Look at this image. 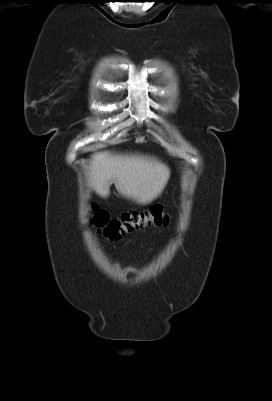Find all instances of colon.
I'll return each mask as SVG.
<instances>
[{
  "instance_id": "1",
  "label": "colon",
  "mask_w": 272,
  "mask_h": 401,
  "mask_svg": "<svg viewBox=\"0 0 272 401\" xmlns=\"http://www.w3.org/2000/svg\"><path fill=\"white\" fill-rule=\"evenodd\" d=\"M169 218L160 206H153L146 210H134L122 213L118 217L110 215L94 207L91 223L98 232L109 240H118L126 234L150 226H164Z\"/></svg>"
}]
</instances>
